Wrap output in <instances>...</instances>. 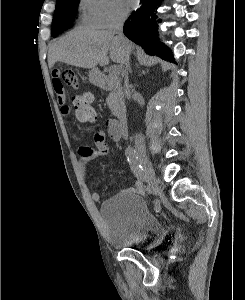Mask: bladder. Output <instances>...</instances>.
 <instances>
[{
    "mask_svg": "<svg viewBox=\"0 0 245 300\" xmlns=\"http://www.w3.org/2000/svg\"><path fill=\"white\" fill-rule=\"evenodd\" d=\"M100 215L114 248H153L167 235L163 222L140 195L132 192H120L105 200Z\"/></svg>",
    "mask_w": 245,
    "mask_h": 300,
    "instance_id": "31cf9c89",
    "label": "bladder"
}]
</instances>
